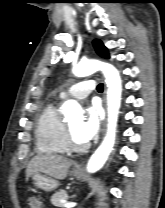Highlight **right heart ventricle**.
<instances>
[{
    "mask_svg": "<svg viewBox=\"0 0 165 208\" xmlns=\"http://www.w3.org/2000/svg\"><path fill=\"white\" fill-rule=\"evenodd\" d=\"M64 122L55 101L48 103L38 117L35 129L36 145L41 153H67L64 145Z\"/></svg>",
    "mask_w": 165,
    "mask_h": 208,
    "instance_id": "obj_1",
    "label": "right heart ventricle"
}]
</instances>
